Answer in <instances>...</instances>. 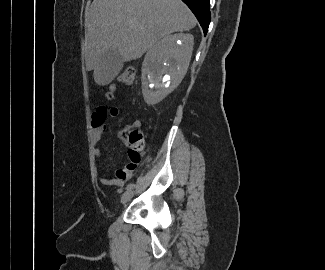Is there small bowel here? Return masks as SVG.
<instances>
[{"label":"small bowel","mask_w":325,"mask_h":270,"mask_svg":"<svg viewBox=\"0 0 325 270\" xmlns=\"http://www.w3.org/2000/svg\"><path fill=\"white\" fill-rule=\"evenodd\" d=\"M118 116H119V109L117 107L107 108L104 107V104H99V107L96 109V112L94 113V117L92 120V129H91V141L93 143V156L96 161L100 160L102 156L101 149L99 148L98 143L101 141L102 134L105 130L103 123L104 121L107 120V118L115 119ZM129 152L130 149L127 152L128 159L130 158ZM135 168L136 165L134 167H128L126 165L125 167L119 168L116 171L115 178H109L107 176L101 175L99 167H96V171L99 174L100 182L103 185L121 187L125 180L130 179Z\"/></svg>","instance_id":"small-bowel-1"}]
</instances>
